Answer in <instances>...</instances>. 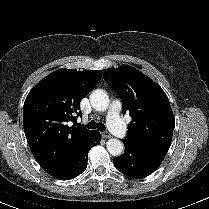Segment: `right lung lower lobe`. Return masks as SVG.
I'll list each match as a JSON object with an SVG mask.
<instances>
[{
  "label": "right lung lower lobe",
  "mask_w": 209,
  "mask_h": 209,
  "mask_svg": "<svg viewBox=\"0 0 209 209\" xmlns=\"http://www.w3.org/2000/svg\"><path fill=\"white\" fill-rule=\"evenodd\" d=\"M101 135L98 131L93 133L82 143L75 155L56 173L51 176L59 180H70L80 175L87 167L88 152L100 143Z\"/></svg>",
  "instance_id": "right-lung-lower-lobe-1"
}]
</instances>
